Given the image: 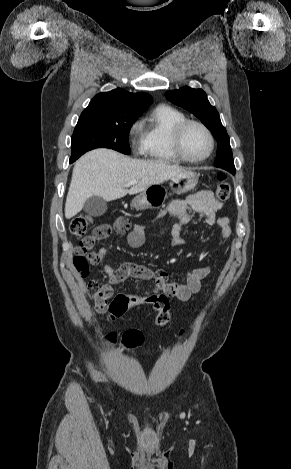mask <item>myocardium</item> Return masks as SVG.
<instances>
[{
  "label": "myocardium",
  "mask_w": 291,
  "mask_h": 469,
  "mask_svg": "<svg viewBox=\"0 0 291 469\" xmlns=\"http://www.w3.org/2000/svg\"><path fill=\"white\" fill-rule=\"evenodd\" d=\"M196 125L200 127L207 135L209 139V150L208 152L201 158H191L186 155L184 148H183V136L186 129L191 126ZM172 146L176 156L184 162L191 163V164H199L207 160L213 153L215 148V139L211 132V130L202 122L194 119H185L179 122L173 129L172 132Z\"/></svg>",
  "instance_id": "myocardium-1"
}]
</instances>
